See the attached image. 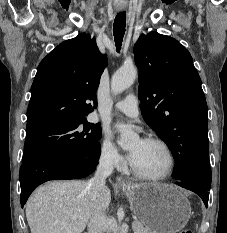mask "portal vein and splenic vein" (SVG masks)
I'll use <instances>...</instances> for the list:
<instances>
[{
	"mask_svg": "<svg viewBox=\"0 0 227 233\" xmlns=\"http://www.w3.org/2000/svg\"><path fill=\"white\" fill-rule=\"evenodd\" d=\"M72 219L73 220L77 219V216L76 215L72 216Z\"/></svg>",
	"mask_w": 227,
	"mask_h": 233,
	"instance_id": "portal-vein-and-splenic-vein-1",
	"label": "portal vein and splenic vein"
}]
</instances>
